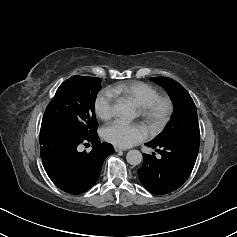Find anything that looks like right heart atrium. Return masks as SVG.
<instances>
[{"mask_svg": "<svg viewBox=\"0 0 237 237\" xmlns=\"http://www.w3.org/2000/svg\"><path fill=\"white\" fill-rule=\"evenodd\" d=\"M115 94L110 89L98 93L94 101L96 115L102 120H109L114 115Z\"/></svg>", "mask_w": 237, "mask_h": 237, "instance_id": "d8ad5b80", "label": "right heart atrium"}]
</instances>
